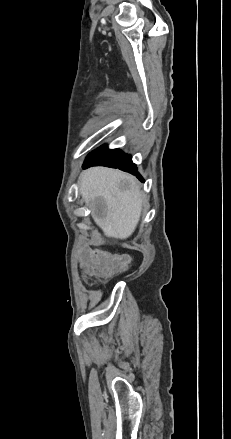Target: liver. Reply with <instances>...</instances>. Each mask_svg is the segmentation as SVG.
Wrapping results in <instances>:
<instances>
[{
    "label": "liver",
    "instance_id": "liver-1",
    "mask_svg": "<svg viewBox=\"0 0 231 439\" xmlns=\"http://www.w3.org/2000/svg\"><path fill=\"white\" fill-rule=\"evenodd\" d=\"M80 193L92 202H104L95 220L107 237L128 238L135 230L142 211L143 195L134 177L119 170L93 167L80 175ZM127 182V188L122 183Z\"/></svg>",
    "mask_w": 231,
    "mask_h": 439
}]
</instances>
